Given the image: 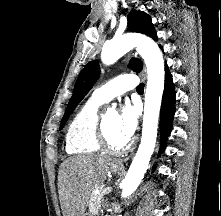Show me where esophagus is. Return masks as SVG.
<instances>
[{
	"instance_id": "34e87169",
	"label": "esophagus",
	"mask_w": 221,
	"mask_h": 216,
	"mask_svg": "<svg viewBox=\"0 0 221 216\" xmlns=\"http://www.w3.org/2000/svg\"><path fill=\"white\" fill-rule=\"evenodd\" d=\"M128 158H125V159H121V160H116L115 161V164L116 165H119V166H123L124 163L127 161Z\"/></svg>"
}]
</instances>
